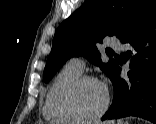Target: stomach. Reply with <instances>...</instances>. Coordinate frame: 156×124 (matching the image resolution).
<instances>
[{"mask_svg": "<svg viewBox=\"0 0 156 124\" xmlns=\"http://www.w3.org/2000/svg\"><path fill=\"white\" fill-rule=\"evenodd\" d=\"M106 124H127V123H124L123 121H118V122L111 121V122H106Z\"/></svg>", "mask_w": 156, "mask_h": 124, "instance_id": "stomach-1", "label": "stomach"}]
</instances>
